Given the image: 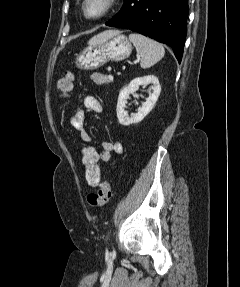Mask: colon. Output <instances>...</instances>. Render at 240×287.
Here are the masks:
<instances>
[{
  "instance_id": "obj_1",
  "label": "colon",
  "mask_w": 240,
  "mask_h": 287,
  "mask_svg": "<svg viewBox=\"0 0 240 287\" xmlns=\"http://www.w3.org/2000/svg\"><path fill=\"white\" fill-rule=\"evenodd\" d=\"M74 78V73L68 72L59 80L58 89L62 97L65 98L69 95L73 87ZM82 163L87 184L97 187L95 193L88 195V204L95 209L101 208L108 202L112 193L109 182L102 178L97 151L92 147H84L82 149Z\"/></svg>"
}]
</instances>
